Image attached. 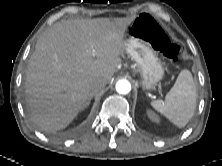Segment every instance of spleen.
I'll return each instance as SVG.
<instances>
[{"instance_id":"1","label":"spleen","mask_w":222,"mask_h":166,"mask_svg":"<svg viewBox=\"0 0 222 166\" xmlns=\"http://www.w3.org/2000/svg\"><path fill=\"white\" fill-rule=\"evenodd\" d=\"M196 86L189 70H182L165 100H154L151 106L179 128L186 126L196 108Z\"/></svg>"}]
</instances>
